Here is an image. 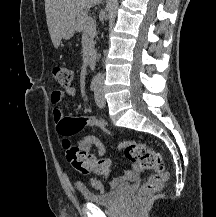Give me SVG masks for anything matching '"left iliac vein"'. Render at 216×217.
<instances>
[{
  "label": "left iliac vein",
  "mask_w": 216,
  "mask_h": 217,
  "mask_svg": "<svg viewBox=\"0 0 216 217\" xmlns=\"http://www.w3.org/2000/svg\"><path fill=\"white\" fill-rule=\"evenodd\" d=\"M95 102L100 108H103L106 105V101L103 93V87L101 84L98 85V88L95 92Z\"/></svg>",
  "instance_id": "obj_1"
}]
</instances>
